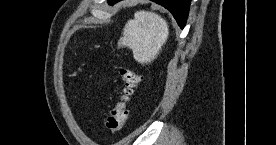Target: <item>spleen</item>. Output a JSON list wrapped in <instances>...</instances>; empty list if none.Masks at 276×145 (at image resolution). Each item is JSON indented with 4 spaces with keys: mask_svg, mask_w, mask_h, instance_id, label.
<instances>
[{
    "mask_svg": "<svg viewBox=\"0 0 276 145\" xmlns=\"http://www.w3.org/2000/svg\"><path fill=\"white\" fill-rule=\"evenodd\" d=\"M169 36L167 22L150 11H137L129 20L118 41V47H129L134 59L147 64L157 58Z\"/></svg>",
    "mask_w": 276,
    "mask_h": 145,
    "instance_id": "spleen-1",
    "label": "spleen"
}]
</instances>
